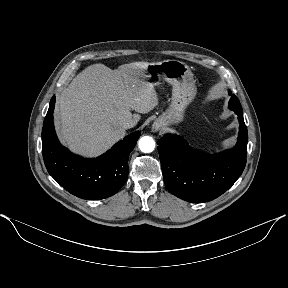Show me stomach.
<instances>
[{
    "instance_id": "obj_1",
    "label": "stomach",
    "mask_w": 288,
    "mask_h": 288,
    "mask_svg": "<svg viewBox=\"0 0 288 288\" xmlns=\"http://www.w3.org/2000/svg\"><path fill=\"white\" fill-rule=\"evenodd\" d=\"M144 73L154 86L163 79L173 88L169 108L155 120L153 128L182 122L185 109L194 100L197 92L189 66L179 60L168 59L158 63H148Z\"/></svg>"
}]
</instances>
